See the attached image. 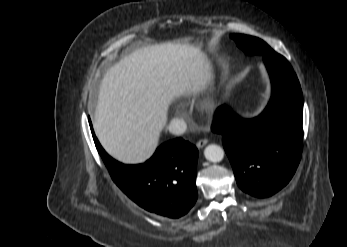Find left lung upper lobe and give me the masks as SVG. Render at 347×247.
<instances>
[{
    "instance_id": "5c2ea615",
    "label": "left lung upper lobe",
    "mask_w": 347,
    "mask_h": 247,
    "mask_svg": "<svg viewBox=\"0 0 347 247\" xmlns=\"http://www.w3.org/2000/svg\"><path fill=\"white\" fill-rule=\"evenodd\" d=\"M231 37L235 40L238 47L247 53L262 54L263 56H274L277 54L259 38L242 34H233Z\"/></svg>"
}]
</instances>
